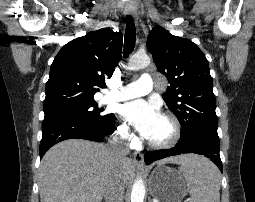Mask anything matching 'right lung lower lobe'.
I'll use <instances>...</instances> for the list:
<instances>
[{
  "label": "right lung lower lobe",
  "mask_w": 255,
  "mask_h": 202,
  "mask_svg": "<svg viewBox=\"0 0 255 202\" xmlns=\"http://www.w3.org/2000/svg\"><path fill=\"white\" fill-rule=\"evenodd\" d=\"M115 130V117L109 126L97 127L78 118L47 119L42 123L40 158L56 143L66 139H87L100 142Z\"/></svg>",
  "instance_id": "obj_1"
}]
</instances>
